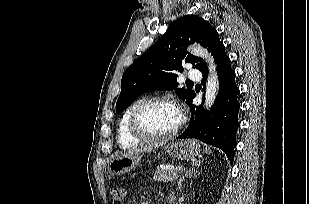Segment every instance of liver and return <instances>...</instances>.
I'll use <instances>...</instances> for the list:
<instances>
[{
	"mask_svg": "<svg viewBox=\"0 0 309 204\" xmlns=\"http://www.w3.org/2000/svg\"><path fill=\"white\" fill-rule=\"evenodd\" d=\"M164 143H166V141L155 142V143L146 145V146H144V147H142V148H140V149L132 150V151H130L129 153H139V154H140V153H142V152H150V151H152L153 149L162 146Z\"/></svg>",
	"mask_w": 309,
	"mask_h": 204,
	"instance_id": "liver-1",
	"label": "liver"
}]
</instances>
